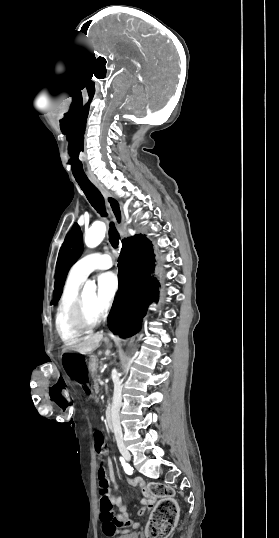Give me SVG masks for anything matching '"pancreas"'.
Returning <instances> with one entry per match:
<instances>
[{
	"label": "pancreas",
	"instance_id": "cf45deb5",
	"mask_svg": "<svg viewBox=\"0 0 279 538\" xmlns=\"http://www.w3.org/2000/svg\"><path fill=\"white\" fill-rule=\"evenodd\" d=\"M92 358V356H91ZM100 380V376H95V378H93V382H94V390L97 394L98 390H99V386H98V382Z\"/></svg>",
	"mask_w": 279,
	"mask_h": 538
}]
</instances>
